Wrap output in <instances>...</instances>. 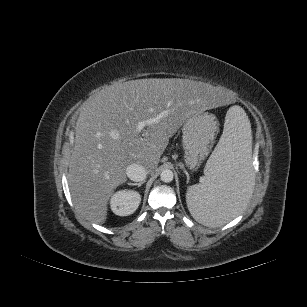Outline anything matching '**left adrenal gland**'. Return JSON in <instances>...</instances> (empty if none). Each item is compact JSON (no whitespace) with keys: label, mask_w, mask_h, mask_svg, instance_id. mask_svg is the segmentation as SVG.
<instances>
[{"label":"left adrenal gland","mask_w":307,"mask_h":307,"mask_svg":"<svg viewBox=\"0 0 307 307\" xmlns=\"http://www.w3.org/2000/svg\"><path fill=\"white\" fill-rule=\"evenodd\" d=\"M185 172V174H186V176H187V183L189 182V174H188V172L187 171H184Z\"/></svg>","instance_id":"obj_1"}]
</instances>
